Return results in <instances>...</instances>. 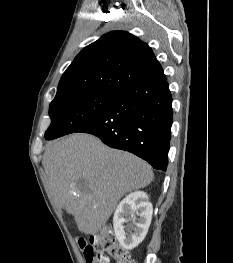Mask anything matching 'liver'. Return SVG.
Wrapping results in <instances>:
<instances>
[{
    "instance_id": "liver-1",
    "label": "liver",
    "mask_w": 233,
    "mask_h": 263,
    "mask_svg": "<svg viewBox=\"0 0 233 263\" xmlns=\"http://www.w3.org/2000/svg\"><path fill=\"white\" fill-rule=\"evenodd\" d=\"M42 165L56 203L87 235L101 230L126 193L146 187L154 177L145 161L85 133L50 142Z\"/></svg>"
}]
</instances>
